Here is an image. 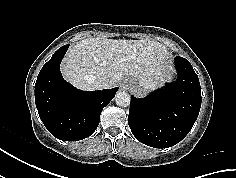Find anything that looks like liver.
Segmentation results:
<instances>
[{
  "mask_svg": "<svg viewBox=\"0 0 236 178\" xmlns=\"http://www.w3.org/2000/svg\"><path fill=\"white\" fill-rule=\"evenodd\" d=\"M165 46L149 39L87 38L71 46L62 62L64 78L82 90L96 89L92 80L104 77L108 87L123 76H133L145 87L169 77L171 65Z\"/></svg>",
  "mask_w": 236,
  "mask_h": 178,
  "instance_id": "1",
  "label": "liver"
}]
</instances>
